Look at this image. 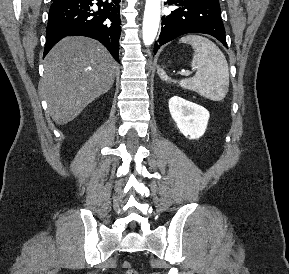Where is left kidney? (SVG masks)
I'll return each mask as SVG.
<instances>
[{
    "mask_svg": "<svg viewBox=\"0 0 289 274\" xmlns=\"http://www.w3.org/2000/svg\"><path fill=\"white\" fill-rule=\"evenodd\" d=\"M169 111L180 132L189 139H199L207 128L209 112L202 106L173 96Z\"/></svg>",
    "mask_w": 289,
    "mask_h": 274,
    "instance_id": "left-kidney-1",
    "label": "left kidney"
}]
</instances>
